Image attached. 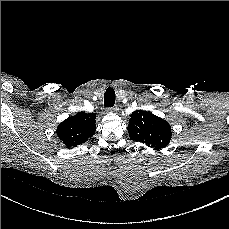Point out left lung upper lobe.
I'll return each mask as SVG.
<instances>
[{
    "label": "left lung upper lobe",
    "mask_w": 229,
    "mask_h": 229,
    "mask_svg": "<svg viewBox=\"0 0 229 229\" xmlns=\"http://www.w3.org/2000/svg\"><path fill=\"white\" fill-rule=\"evenodd\" d=\"M128 132L131 140L142 142L155 150L166 147L172 137L167 121L143 110L131 114Z\"/></svg>",
    "instance_id": "5c2ea615"
}]
</instances>
